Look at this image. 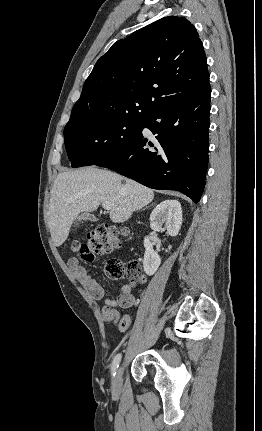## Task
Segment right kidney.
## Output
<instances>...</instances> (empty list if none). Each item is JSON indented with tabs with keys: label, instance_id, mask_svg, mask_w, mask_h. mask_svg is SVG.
<instances>
[{
	"label": "right kidney",
	"instance_id": "right-kidney-1",
	"mask_svg": "<svg viewBox=\"0 0 262 431\" xmlns=\"http://www.w3.org/2000/svg\"><path fill=\"white\" fill-rule=\"evenodd\" d=\"M163 224L164 227H163ZM182 224V208L178 200H165L158 204L150 215V227L154 231L167 230L170 236H176ZM145 254L143 268L147 275H153L161 264V258L153 250V244L148 237L144 239ZM171 249V246L168 247Z\"/></svg>",
	"mask_w": 262,
	"mask_h": 431
}]
</instances>
